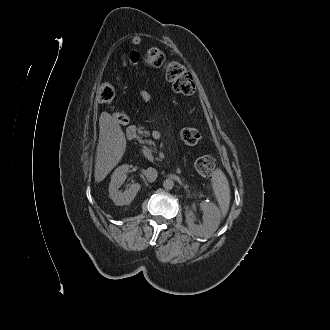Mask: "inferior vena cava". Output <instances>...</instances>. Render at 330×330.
Instances as JSON below:
<instances>
[{"label": "inferior vena cava", "mask_w": 330, "mask_h": 330, "mask_svg": "<svg viewBox=\"0 0 330 330\" xmlns=\"http://www.w3.org/2000/svg\"><path fill=\"white\" fill-rule=\"evenodd\" d=\"M145 176L148 182H154L157 178V171L156 169L150 167L145 171Z\"/></svg>", "instance_id": "602c4592"}]
</instances>
